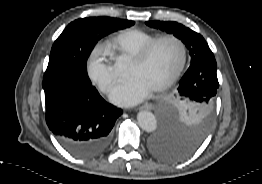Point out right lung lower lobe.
<instances>
[{
    "instance_id": "98d812e1",
    "label": "right lung lower lobe",
    "mask_w": 262,
    "mask_h": 184,
    "mask_svg": "<svg viewBox=\"0 0 262 184\" xmlns=\"http://www.w3.org/2000/svg\"><path fill=\"white\" fill-rule=\"evenodd\" d=\"M46 123L62 146L90 159L109 146L111 130L122 110L107 103L89 78L68 73L43 79Z\"/></svg>"
}]
</instances>
